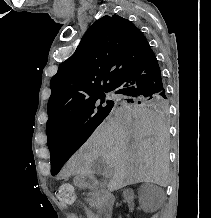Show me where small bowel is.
I'll return each instance as SVG.
<instances>
[{
    "label": "small bowel",
    "mask_w": 211,
    "mask_h": 218,
    "mask_svg": "<svg viewBox=\"0 0 211 218\" xmlns=\"http://www.w3.org/2000/svg\"><path fill=\"white\" fill-rule=\"evenodd\" d=\"M86 217L87 218H97L96 214L90 210H86Z\"/></svg>",
    "instance_id": "obj_1"
}]
</instances>
